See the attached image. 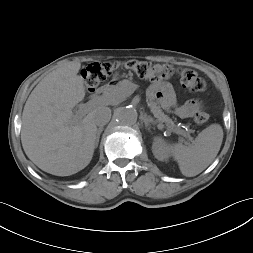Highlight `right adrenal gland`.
Segmentation results:
<instances>
[{
    "instance_id": "right-adrenal-gland-1",
    "label": "right adrenal gland",
    "mask_w": 253,
    "mask_h": 253,
    "mask_svg": "<svg viewBox=\"0 0 253 253\" xmlns=\"http://www.w3.org/2000/svg\"><path fill=\"white\" fill-rule=\"evenodd\" d=\"M103 131V127H99L97 129V134H96V143H95V147L97 148L98 147V143H99V139H100V135Z\"/></svg>"
}]
</instances>
